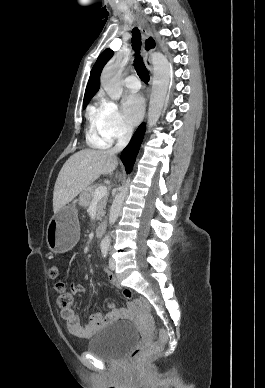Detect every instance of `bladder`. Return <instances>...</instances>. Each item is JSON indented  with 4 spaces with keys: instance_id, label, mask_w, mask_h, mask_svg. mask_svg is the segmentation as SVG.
Here are the masks:
<instances>
[{
    "instance_id": "bladder-1",
    "label": "bladder",
    "mask_w": 265,
    "mask_h": 388,
    "mask_svg": "<svg viewBox=\"0 0 265 388\" xmlns=\"http://www.w3.org/2000/svg\"><path fill=\"white\" fill-rule=\"evenodd\" d=\"M137 337L138 332L131 322L109 324L92 337L87 351L105 361H118L136 344Z\"/></svg>"
}]
</instances>
